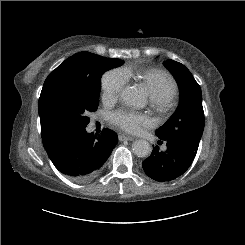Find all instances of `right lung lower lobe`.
Returning <instances> with one entry per match:
<instances>
[{
    "instance_id": "98d812e1",
    "label": "right lung lower lobe",
    "mask_w": 245,
    "mask_h": 245,
    "mask_svg": "<svg viewBox=\"0 0 245 245\" xmlns=\"http://www.w3.org/2000/svg\"><path fill=\"white\" fill-rule=\"evenodd\" d=\"M118 142L117 135L104 129L101 135L85 128L65 133L45 145L55 167L76 181H88L101 170Z\"/></svg>"
}]
</instances>
